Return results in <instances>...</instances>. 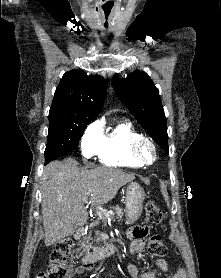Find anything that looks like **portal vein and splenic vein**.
<instances>
[{
    "instance_id": "18ae733b",
    "label": "portal vein and splenic vein",
    "mask_w": 221,
    "mask_h": 278,
    "mask_svg": "<svg viewBox=\"0 0 221 278\" xmlns=\"http://www.w3.org/2000/svg\"><path fill=\"white\" fill-rule=\"evenodd\" d=\"M85 203H88V200H87V199L85 200ZM101 211H102L105 215H107V216L113 214V211H112V210L107 211V210L101 209Z\"/></svg>"
}]
</instances>
